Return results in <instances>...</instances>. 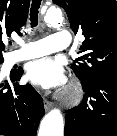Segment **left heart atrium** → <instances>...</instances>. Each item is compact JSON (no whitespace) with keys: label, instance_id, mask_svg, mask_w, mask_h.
Segmentation results:
<instances>
[{"label":"left heart atrium","instance_id":"1","mask_svg":"<svg viewBox=\"0 0 117 136\" xmlns=\"http://www.w3.org/2000/svg\"><path fill=\"white\" fill-rule=\"evenodd\" d=\"M29 80L45 89H60L66 84L61 62L45 57L32 62L27 69Z\"/></svg>","mask_w":117,"mask_h":136}]
</instances>
